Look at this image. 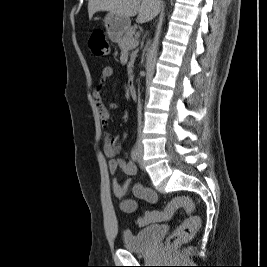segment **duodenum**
Returning a JSON list of instances; mask_svg holds the SVG:
<instances>
[{"mask_svg":"<svg viewBox=\"0 0 267 267\" xmlns=\"http://www.w3.org/2000/svg\"><path fill=\"white\" fill-rule=\"evenodd\" d=\"M128 87H129V93H130L131 97L136 98L137 97V91H136V87H135L133 78H130Z\"/></svg>","mask_w":267,"mask_h":267,"instance_id":"duodenum-1","label":"duodenum"}]
</instances>
